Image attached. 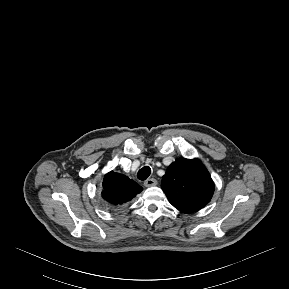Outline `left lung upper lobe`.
<instances>
[{"mask_svg": "<svg viewBox=\"0 0 289 289\" xmlns=\"http://www.w3.org/2000/svg\"><path fill=\"white\" fill-rule=\"evenodd\" d=\"M161 188L179 211L189 213L203 208L214 192V183L198 159H177L162 178Z\"/></svg>", "mask_w": 289, "mask_h": 289, "instance_id": "obj_1", "label": "left lung upper lobe"}]
</instances>
